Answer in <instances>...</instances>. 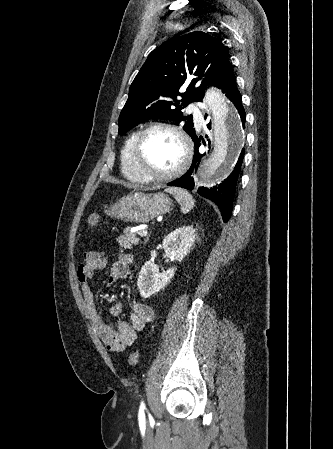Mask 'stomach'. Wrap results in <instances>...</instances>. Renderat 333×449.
I'll return each mask as SVG.
<instances>
[{
	"label": "stomach",
	"instance_id": "1",
	"mask_svg": "<svg viewBox=\"0 0 333 449\" xmlns=\"http://www.w3.org/2000/svg\"><path fill=\"white\" fill-rule=\"evenodd\" d=\"M170 198L162 192L144 194L130 193L112 204L105 211L112 218L131 223H147L165 214L171 206Z\"/></svg>",
	"mask_w": 333,
	"mask_h": 449
}]
</instances>
